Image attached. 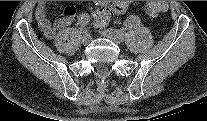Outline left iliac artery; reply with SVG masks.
I'll use <instances>...</instances> for the list:
<instances>
[{"label": "left iliac artery", "mask_w": 207, "mask_h": 121, "mask_svg": "<svg viewBox=\"0 0 207 121\" xmlns=\"http://www.w3.org/2000/svg\"><path fill=\"white\" fill-rule=\"evenodd\" d=\"M140 16L139 15H137V14H134V15H130V16H127V17H125L124 18V23L125 24H133V23H137V22H139L140 21Z\"/></svg>", "instance_id": "1"}]
</instances>
